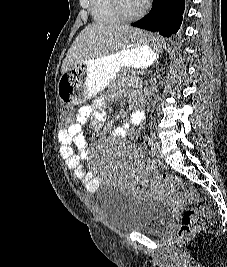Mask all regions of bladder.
<instances>
[{
	"instance_id": "31cf9c89",
	"label": "bladder",
	"mask_w": 227,
	"mask_h": 267,
	"mask_svg": "<svg viewBox=\"0 0 227 267\" xmlns=\"http://www.w3.org/2000/svg\"><path fill=\"white\" fill-rule=\"evenodd\" d=\"M99 194V205L107 223L121 231L161 234L166 228L171 210L153 197H137L124 190L105 185Z\"/></svg>"
}]
</instances>
